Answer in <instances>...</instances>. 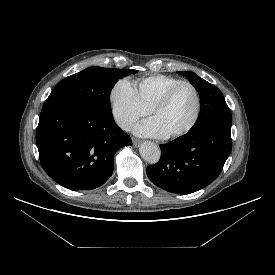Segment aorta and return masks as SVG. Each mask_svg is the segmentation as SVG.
<instances>
[{"mask_svg":"<svg viewBox=\"0 0 275 275\" xmlns=\"http://www.w3.org/2000/svg\"><path fill=\"white\" fill-rule=\"evenodd\" d=\"M139 151L142 158L150 164H155L160 159V155H161L160 148L153 142H150V141L144 142L141 145Z\"/></svg>","mask_w":275,"mask_h":275,"instance_id":"obj_1","label":"aorta"}]
</instances>
